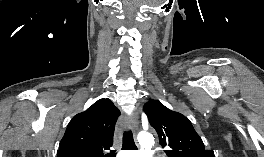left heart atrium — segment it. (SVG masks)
<instances>
[{"instance_id":"39dd6f15","label":"left heart atrium","mask_w":264,"mask_h":157,"mask_svg":"<svg viewBox=\"0 0 264 157\" xmlns=\"http://www.w3.org/2000/svg\"><path fill=\"white\" fill-rule=\"evenodd\" d=\"M121 157H137V156L125 154V155H123Z\"/></svg>"}]
</instances>
